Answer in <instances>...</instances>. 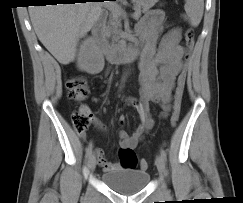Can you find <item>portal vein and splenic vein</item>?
Here are the masks:
<instances>
[{
	"label": "portal vein and splenic vein",
	"instance_id": "obj_1",
	"mask_svg": "<svg viewBox=\"0 0 243 203\" xmlns=\"http://www.w3.org/2000/svg\"><path fill=\"white\" fill-rule=\"evenodd\" d=\"M107 7H108V9H109L110 11H112V12H117V13H119L120 15H123V14H124L123 9H122L119 5H117V4H109V5H107ZM133 17L138 18L139 16H138V14L135 12V13L133 14Z\"/></svg>",
	"mask_w": 243,
	"mask_h": 203
}]
</instances>
